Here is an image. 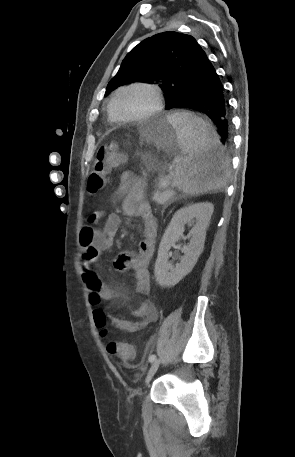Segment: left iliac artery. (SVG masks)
Listing matches in <instances>:
<instances>
[{
    "instance_id": "obj_1",
    "label": "left iliac artery",
    "mask_w": 295,
    "mask_h": 457,
    "mask_svg": "<svg viewBox=\"0 0 295 457\" xmlns=\"http://www.w3.org/2000/svg\"><path fill=\"white\" fill-rule=\"evenodd\" d=\"M155 359H156V355L153 354L149 357L148 360H149V362H153Z\"/></svg>"
}]
</instances>
